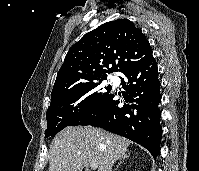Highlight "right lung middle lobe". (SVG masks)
<instances>
[{
	"instance_id": "obj_1",
	"label": "right lung middle lobe",
	"mask_w": 199,
	"mask_h": 171,
	"mask_svg": "<svg viewBox=\"0 0 199 171\" xmlns=\"http://www.w3.org/2000/svg\"><path fill=\"white\" fill-rule=\"evenodd\" d=\"M105 78H100L79 86L77 89L63 98L50 104L46 112L48 123L45 137H53L59 131L69 126L77 117L95 106L100 100L108 95L111 85L103 91L100 84Z\"/></svg>"
}]
</instances>
